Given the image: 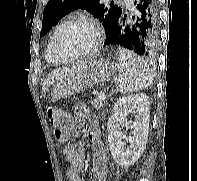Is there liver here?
I'll return each instance as SVG.
<instances>
[{"instance_id": "6515ba94", "label": "liver", "mask_w": 197, "mask_h": 181, "mask_svg": "<svg viewBox=\"0 0 197 181\" xmlns=\"http://www.w3.org/2000/svg\"><path fill=\"white\" fill-rule=\"evenodd\" d=\"M86 63H82L79 65H74L71 67H62L57 68L51 71L46 77V79L43 82L42 90H47L51 85H53L55 82L74 74L75 72L83 69L85 67Z\"/></svg>"}]
</instances>
